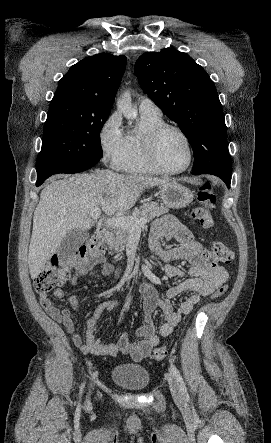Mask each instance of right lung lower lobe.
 Instances as JSON below:
<instances>
[{
  "label": "right lung lower lobe",
  "instance_id": "obj_1",
  "mask_svg": "<svg viewBox=\"0 0 271 443\" xmlns=\"http://www.w3.org/2000/svg\"><path fill=\"white\" fill-rule=\"evenodd\" d=\"M96 163L84 161V162H62L43 167L37 170V182L36 186H40L44 180L53 174L58 173H79L93 167Z\"/></svg>",
  "mask_w": 271,
  "mask_h": 443
}]
</instances>
